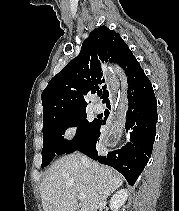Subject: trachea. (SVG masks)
<instances>
[{
    "instance_id": "trachea-1",
    "label": "trachea",
    "mask_w": 179,
    "mask_h": 211,
    "mask_svg": "<svg viewBox=\"0 0 179 211\" xmlns=\"http://www.w3.org/2000/svg\"><path fill=\"white\" fill-rule=\"evenodd\" d=\"M101 95V92H98V96H100Z\"/></svg>"
}]
</instances>
